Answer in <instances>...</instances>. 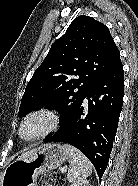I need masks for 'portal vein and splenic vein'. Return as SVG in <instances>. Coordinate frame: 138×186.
Instances as JSON below:
<instances>
[{
	"label": "portal vein and splenic vein",
	"instance_id": "portal-vein-and-splenic-vein-1",
	"mask_svg": "<svg viewBox=\"0 0 138 186\" xmlns=\"http://www.w3.org/2000/svg\"><path fill=\"white\" fill-rule=\"evenodd\" d=\"M61 172H62V173H65V172H66V169H65V168H62V169H61Z\"/></svg>",
	"mask_w": 138,
	"mask_h": 186
}]
</instances>
